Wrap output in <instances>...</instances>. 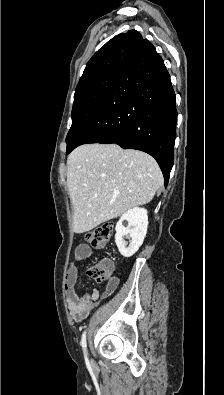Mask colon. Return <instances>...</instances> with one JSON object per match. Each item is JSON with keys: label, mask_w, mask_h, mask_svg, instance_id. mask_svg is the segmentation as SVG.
Segmentation results:
<instances>
[{"label": "colon", "mask_w": 224, "mask_h": 395, "mask_svg": "<svg viewBox=\"0 0 224 395\" xmlns=\"http://www.w3.org/2000/svg\"><path fill=\"white\" fill-rule=\"evenodd\" d=\"M113 234L111 224L100 225L86 234L87 242L95 249H103L109 242ZM87 274L97 282L109 279L112 275V265L110 262L103 260L87 269Z\"/></svg>", "instance_id": "1"}]
</instances>
